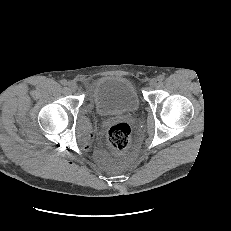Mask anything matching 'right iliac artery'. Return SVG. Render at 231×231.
Instances as JSON below:
<instances>
[{
	"label": "right iliac artery",
	"mask_w": 231,
	"mask_h": 231,
	"mask_svg": "<svg viewBox=\"0 0 231 231\" xmlns=\"http://www.w3.org/2000/svg\"><path fill=\"white\" fill-rule=\"evenodd\" d=\"M61 84L66 86L68 84V82H67V80L63 79V80H61Z\"/></svg>",
	"instance_id": "right-iliac-artery-1"
}]
</instances>
